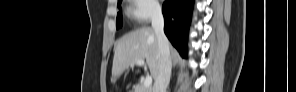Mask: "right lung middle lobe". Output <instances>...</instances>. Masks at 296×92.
Listing matches in <instances>:
<instances>
[{
    "mask_svg": "<svg viewBox=\"0 0 296 92\" xmlns=\"http://www.w3.org/2000/svg\"><path fill=\"white\" fill-rule=\"evenodd\" d=\"M121 1H118V7L120 6ZM121 27H122V13L120 10V12L117 14L116 28L119 29Z\"/></svg>",
    "mask_w": 296,
    "mask_h": 92,
    "instance_id": "obj_1",
    "label": "right lung middle lobe"
}]
</instances>
